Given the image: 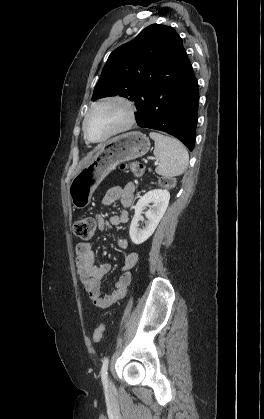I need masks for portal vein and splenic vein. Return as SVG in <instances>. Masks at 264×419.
Masks as SVG:
<instances>
[{
    "label": "portal vein and splenic vein",
    "instance_id": "obj_1",
    "mask_svg": "<svg viewBox=\"0 0 264 419\" xmlns=\"http://www.w3.org/2000/svg\"><path fill=\"white\" fill-rule=\"evenodd\" d=\"M157 164H158V161L155 162V165H157Z\"/></svg>",
    "mask_w": 264,
    "mask_h": 419
}]
</instances>
